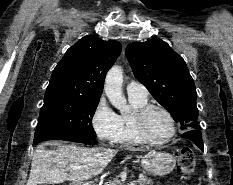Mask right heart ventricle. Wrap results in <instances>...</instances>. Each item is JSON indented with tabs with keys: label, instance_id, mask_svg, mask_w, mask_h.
<instances>
[{
	"label": "right heart ventricle",
	"instance_id": "e07e8e85",
	"mask_svg": "<svg viewBox=\"0 0 233 185\" xmlns=\"http://www.w3.org/2000/svg\"><path fill=\"white\" fill-rule=\"evenodd\" d=\"M132 111L127 114L119 115L120 134L117 143L124 145H141L143 141L137 135L134 125L135 112L148 104L147 96H129Z\"/></svg>",
	"mask_w": 233,
	"mask_h": 185
}]
</instances>
